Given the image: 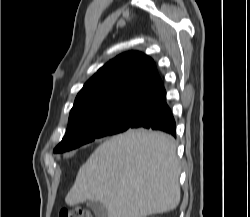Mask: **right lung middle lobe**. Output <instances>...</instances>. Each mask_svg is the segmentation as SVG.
Listing matches in <instances>:
<instances>
[{"mask_svg": "<svg viewBox=\"0 0 250 217\" xmlns=\"http://www.w3.org/2000/svg\"><path fill=\"white\" fill-rule=\"evenodd\" d=\"M138 108L139 104L120 105L70 119L66 135L54 149V153L69 151L96 138L126 131L130 128Z\"/></svg>", "mask_w": 250, "mask_h": 217, "instance_id": "1", "label": "right lung middle lobe"}]
</instances>
